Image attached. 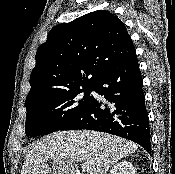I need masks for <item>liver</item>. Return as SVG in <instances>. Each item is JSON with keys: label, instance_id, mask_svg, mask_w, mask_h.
<instances>
[{"label": "liver", "instance_id": "obj_1", "mask_svg": "<svg viewBox=\"0 0 175 174\" xmlns=\"http://www.w3.org/2000/svg\"><path fill=\"white\" fill-rule=\"evenodd\" d=\"M137 149V144L108 133L59 131L32 144L21 174H48L49 160H53V174H76L78 162L86 165V174H106L112 165Z\"/></svg>", "mask_w": 175, "mask_h": 174}]
</instances>
